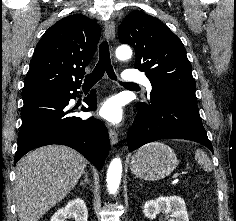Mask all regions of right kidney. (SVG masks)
<instances>
[{"mask_svg": "<svg viewBox=\"0 0 236 221\" xmlns=\"http://www.w3.org/2000/svg\"><path fill=\"white\" fill-rule=\"evenodd\" d=\"M67 215H72L75 221H87L88 211L87 206L81 198H76L52 216L50 221H65Z\"/></svg>", "mask_w": 236, "mask_h": 221, "instance_id": "right-kidney-1", "label": "right kidney"}]
</instances>
